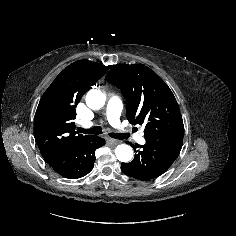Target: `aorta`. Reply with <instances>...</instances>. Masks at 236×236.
Segmentation results:
<instances>
[{"label":"aorta","mask_w":236,"mask_h":236,"mask_svg":"<svg viewBox=\"0 0 236 236\" xmlns=\"http://www.w3.org/2000/svg\"><path fill=\"white\" fill-rule=\"evenodd\" d=\"M106 96L100 90H90L86 96V104L93 110L100 109L104 106ZM115 154L119 161L129 162L133 157V150L127 144H120L115 148Z\"/></svg>","instance_id":"aorta-1"}]
</instances>
